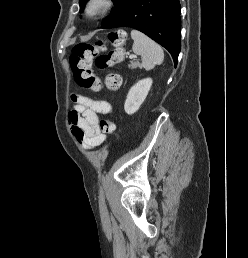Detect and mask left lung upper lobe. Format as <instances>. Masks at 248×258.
Listing matches in <instances>:
<instances>
[{
  "label": "left lung upper lobe",
  "mask_w": 248,
  "mask_h": 258,
  "mask_svg": "<svg viewBox=\"0 0 248 258\" xmlns=\"http://www.w3.org/2000/svg\"><path fill=\"white\" fill-rule=\"evenodd\" d=\"M88 0H79L80 3V7L83 10L84 8V4L87 2ZM114 2V10L113 12L106 17V19L103 21L102 25L107 23L108 21H110L113 17H115V15L129 2V0H113Z\"/></svg>",
  "instance_id": "1"
}]
</instances>
